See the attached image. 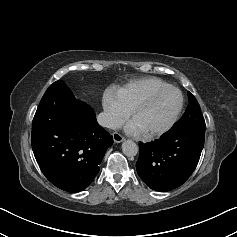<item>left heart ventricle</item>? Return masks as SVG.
<instances>
[{
	"label": "left heart ventricle",
	"instance_id": "b2bd125f",
	"mask_svg": "<svg viewBox=\"0 0 237 237\" xmlns=\"http://www.w3.org/2000/svg\"><path fill=\"white\" fill-rule=\"evenodd\" d=\"M179 103V94L176 91L169 90L139 110L132 122L141 132L157 130L169 122Z\"/></svg>",
	"mask_w": 237,
	"mask_h": 237
}]
</instances>
